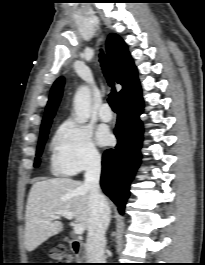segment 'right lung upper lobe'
Masks as SVG:
<instances>
[{
    "label": "right lung upper lobe",
    "instance_id": "right-lung-upper-lobe-1",
    "mask_svg": "<svg viewBox=\"0 0 205 265\" xmlns=\"http://www.w3.org/2000/svg\"><path fill=\"white\" fill-rule=\"evenodd\" d=\"M107 54L110 60L115 80L123 86L119 92V106L128 105L141 97L137 70L124 41L117 34H110L107 43ZM64 85V78L57 79L51 89L49 101L41 125V130L50 126L55 111L59 105Z\"/></svg>",
    "mask_w": 205,
    "mask_h": 265
}]
</instances>
